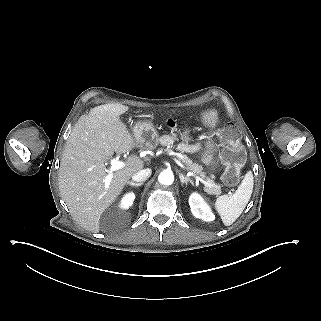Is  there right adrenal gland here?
Returning a JSON list of instances; mask_svg holds the SVG:
<instances>
[{"instance_id": "2a0ac1e0", "label": "right adrenal gland", "mask_w": 321, "mask_h": 321, "mask_svg": "<svg viewBox=\"0 0 321 321\" xmlns=\"http://www.w3.org/2000/svg\"><path fill=\"white\" fill-rule=\"evenodd\" d=\"M144 183L143 182H140V183H134V182H127L125 185L126 186H133V187H140L142 186Z\"/></svg>"}]
</instances>
